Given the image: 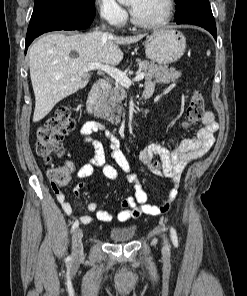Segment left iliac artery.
I'll return each mask as SVG.
<instances>
[{
	"mask_svg": "<svg viewBox=\"0 0 247 296\" xmlns=\"http://www.w3.org/2000/svg\"><path fill=\"white\" fill-rule=\"evenodd\" d=\"M170 232H171V238H172L173 244L177 246L178 245V238H177L176 230L174 228H171Z\"/></svg>",
	"mask_w": 247,
	"mask_h": 296,
	"instance_id": "44dca946",
	"label": "left iliac artery"
}]
</instances>
